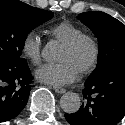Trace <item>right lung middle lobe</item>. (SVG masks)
<instances>
[{"mask_svg": "<svg viewBox=\"0 0 125 125\" xmlns=\"http://www.w3.org/2000/svg\"><path fill=\"white\" fill-rule=\"evenodd\" d=\"M52 17L50 11L31 6L18 9L13 4L0 0V59L10 65L25 62L21 54L27 35Z\"/></svg>", "mask_w": 125, "mask_h": 125, "instance_id": "right-lung-middle-lobe-1", "label": "right lung middle lobe"}]
</instances>
